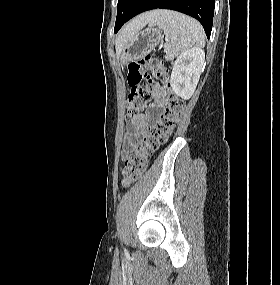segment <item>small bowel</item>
<instances>
[{"label": "small bowel", "mask_w": 280, "mask_h": 285, "mask_svg": "<svg viewBox=\"0 0 280 285\" xmlns=\"http://www.w3.org/2000/svg\"><path fill=\"white\" fill-rule=\"evenodd\" d=\"M166 93L163 87L159 83L153 84V99L154 102L152 107L154 108H162L165 103ZM150 119V114L148 111H142L137 113L135 116L132 117L129 128L127 131V136L125 138L123 144V152L122 157L126 158L131 150L138 144L146 130L148 128V123Z\"/></svg>", "instance_id": "obj_1"}]
</instances>
